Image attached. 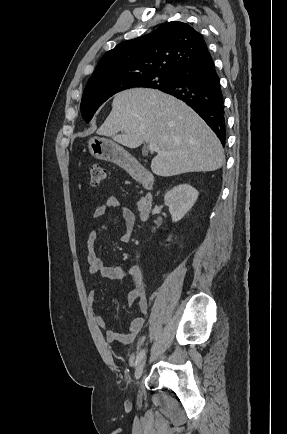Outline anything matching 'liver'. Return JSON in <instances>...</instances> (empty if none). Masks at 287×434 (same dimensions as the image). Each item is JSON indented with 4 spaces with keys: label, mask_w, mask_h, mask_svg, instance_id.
Segmentation results:
<instances>
[{
    "label": "liver",
    "mask_w": 287,
    "mask_h": 434,
    "mask_svg": "<svg viewBox=\"0 0 287 434\" xmlns=\"http://www.w3.org/2000/svg\"><path fill=\"white\" fill-rule=\"evenodd\" d=\"M97 134L128 148L144 141L157 144L151 170L162 177L215 171L224 163L222 145L204 120L181 100L158 90L138 88L116 94Z\"/></svg>",
    "instance_id": "obj_1"
}]
</instances>
